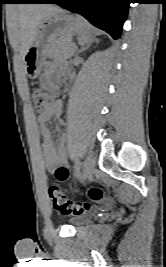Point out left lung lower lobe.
Listing matches in <instances>:
<instances>
[{
    "instance_id": "0a47b994",
    "label": "left lung lower lobe",
    "mask_w": 166,
    "mask_h": 267,
    "mask_svg": "<svg viewBox=\"0 0 166 267\" xmlns=\"http://www.w3.org/2000/svg\"><path fill=\"white\" fill-rule=\"evenodd\" d=\"M34 3H56L78 13L114 39L121 34L130 0H37Z\"/></svg>"
}]
</instances>
